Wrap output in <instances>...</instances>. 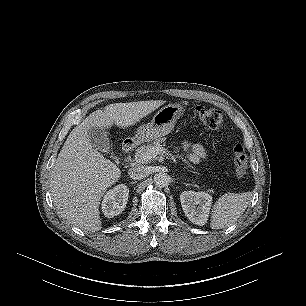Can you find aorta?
<instances>
[{
	"label": "aorta",
	"instance_id": "obj_1",
	"mask_svg": "<svg viewBox=\"0 0 306 306\" xmlns=\"http://www.w3.org/2000/svg\"><path fill=\"white\" fill-rule=\"evenodd\" d=\"M169 176L166 173H157L154 176V183L157 187H165L169 184Z\"/></svg>",
	"mask_w": 306,
	"mask_h": 306
}]
</instances>
